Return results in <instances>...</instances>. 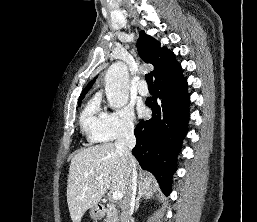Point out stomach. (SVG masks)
Listing matches in <instances>:
<instances>
[{"label": "stomach", "mask_w": 257, "mask_h": 222, "mask_svg": "<svg viewBox=\"0 0 257 222\" xmlns=\"http://www.w3.org/2000/svg\"><path fill=\"white\" fill-rule=\"evenodd\" d=\"M100 212L99 210L96 208V207H92L90 209V217L93 219V220H97L98 218H100Z\"/></svg>", "instance_id": "1"}]
</instances>
